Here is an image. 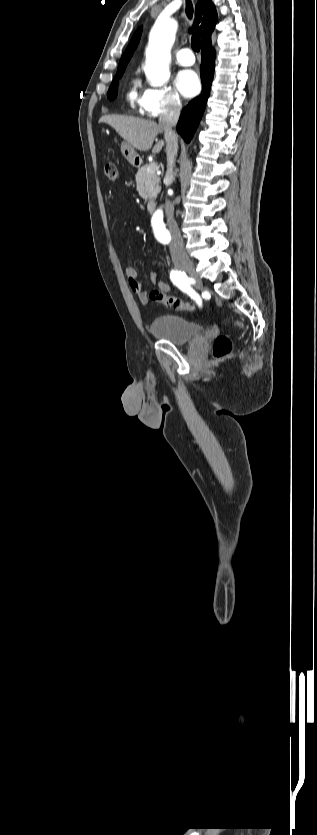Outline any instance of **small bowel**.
<instances>
[{"instance_id": "small-bowel-1", "label": "small bowel", "mask_w": 317, "mask_h": 835, "mask_svg": "<svg viewBox=\"0 0 317 835\" xmlns=\"http://www.w3.org/2000/svg\"><path fill=\"white\" fill-rule=\"evenodd\" d=\"M128 283L130 288L134 293H136L142 303L147 302L146 292L144 291L141 283L138 281L137 271L133 266H129L126 269ZM150 281L153 285H155L160 291L167 293L171 290L168 283L159 279L158 275L154 271H150L149 273Z\"/></svg>"}]
</instances>
